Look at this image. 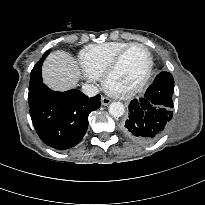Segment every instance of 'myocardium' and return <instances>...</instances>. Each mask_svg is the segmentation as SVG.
Instances as JSON below:
<instances>
[{
	"instance_id": "1",
	"label": "myocardium",
	"mask_w": 205,
	"mask_h": 205,
	"mask_svg": "<svg viewBox=\"0 0 205 205\" xmlns=\"http://www.w3.org/2000/svg\"><path fill=\"white\" fill-rule=\"evenodd\" d=\"M134 47H141L143 48L148 56V67L147 70L144 74V76L141 78V80L132 88L127 89V90H116L114 88H112L109 84L110 78L111 76L114 74V72L117 70L122 58L124 57V55L132 48ZM153 65H154V61H153V56L151 51L149 50V48L142 44V43H131L130 45H128L127 47H125L124 49H122L111 61V63L109 64V66L107 67V69L105 70L103 76H102V85L103 88L105 89V91L117 98H129L132 97L134 95H136L137 93H139L140 91H142V89L146 86V84L148 83L151 75H152V71H153Z\"/></svg>"
}]
</instances>
